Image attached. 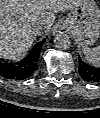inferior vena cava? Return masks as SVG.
<instances>
[{
  "instance_id": "inferior-vena-cava-1",
  "label": "inferior vena cava",
  "mask_w": 100,
  "mask_h": 118,
  "mask_svg": "<svg viewBox=\"0 0 100 118\" xmlns=\"http://www.w3.org/2000/svg\"><path fill=\"white\" fill-rule=\"evenodd\" d=\"M48 29H49V27L46 24H37V25H35V30L38 34L44 33Z\"/></svg>"
}]
</instances>
